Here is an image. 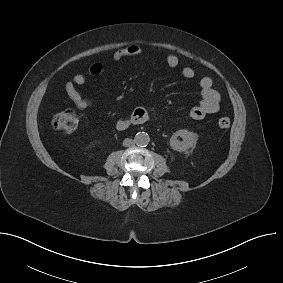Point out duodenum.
Instances as JSON below:
<instances>
[{
	"label": "duodenum",
	"mask_w": 283,
	"mask_h": 283,
	"mask_svg": "<svg viewBox=\"0 0 283 283\" xmlns=\"http://www.w3.org/2000/svg\"><path fill=\"white\" fill-rule=\"evenodd\" d=\"M130 122L135 123L132 119L131 120H120L117 123V128L119 130H124L129 126Z\"/></svg>",
	"instance_id": "1"
}]
</instances>
